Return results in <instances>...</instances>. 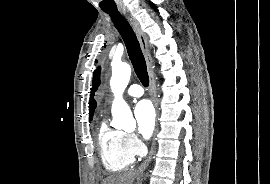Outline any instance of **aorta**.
<instances>
[{
	"label": "aorta",
	"instance_id": "aorta-1",
	"mask_svg": "<svg viewBox=\"0 0 270 184\" xmlns=\"http://www.w3.org/2000/svg\"><path fill=\"white\" fill-rule=\"evenodd\" d=\"M130 76L131 67L129 64L118 63L112 66L110 86L115 96L111 109L113 126L125 131H133L136 127V122L132 112L122 98V94L129 83Z\"/></svg>",
	"mask_w": 270,
	"mask_h": 184
}]
</instances>
